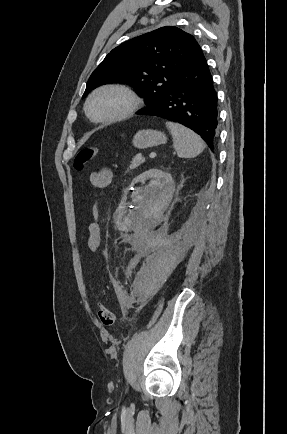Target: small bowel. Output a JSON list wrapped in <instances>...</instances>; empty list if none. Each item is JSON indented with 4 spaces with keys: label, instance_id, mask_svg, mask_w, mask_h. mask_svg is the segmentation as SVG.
Wrapping results in <instances>:
<instances>
[{
    "label": "small bowel",
    "instance_id": "obj_1",
    "mask_svg": "<svg viewBox=\"0 0 287 434\" xmlns=\"http://www.w3.org/2000/svg\"><path fill=\"white\" fill-rule=\"evenodd\" d=\"M112 180L113 172L108 168L96 170L90 174V183L98 191H103L111 184ZM92 215L95 220L88 225L87 244L92 252H96L100 248L102 242L101 227L96 220L99 215V206L97 203L92 207Z\"/></svg>",
    "mask_w": 287,
    "mask_h": 434
}]
</instances>
